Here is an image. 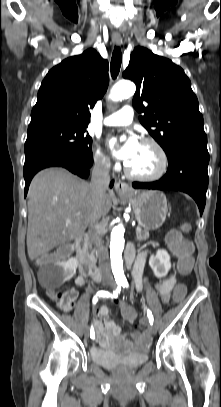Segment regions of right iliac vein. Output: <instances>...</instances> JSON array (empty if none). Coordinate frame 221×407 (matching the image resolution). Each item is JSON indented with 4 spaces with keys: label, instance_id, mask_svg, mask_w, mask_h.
Listing matches in <instances>:
<instances>
[{
    "label": "right iliac vein",
    "instance_id": "63e3f726",
    "mask_svg": "<svg viewBox=\"0 0 221 407\" xmlns=\"http://www.w3.org/2000/svg\"><path fill=\"white\" fill-rule=\"evenodd\" d=\"M88 335H89L88 329H85V331H84V336H85V337H88Z\"/></svg>",
    "mask_w": 221,
    "mask_h": 407
}]
</instances>
